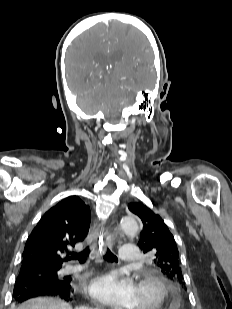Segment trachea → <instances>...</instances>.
Here are the masks:
<instances>
[{
	"label": "trachea",
	"mask_w": 232,
	"mask_h": 309,
	"mask_svg": "<svg viewBox=\"0 0 232 309\" xmlns=\"http://www.w3.org/2000/svg\"><path fill=\"white\" fill-rule=\"evenodd\" d=\"M89 253H90V248L87 247L85 250H83L80 253H76V252L71 253V258L72 259H77L80 263H85L86 259L89 256ZM104 258L106 260L112 261V262L113 261H118L117 257L110 250H107Z\"/></svg>",
	"instance_id": "trachea-1"
}]
</instances>
